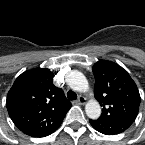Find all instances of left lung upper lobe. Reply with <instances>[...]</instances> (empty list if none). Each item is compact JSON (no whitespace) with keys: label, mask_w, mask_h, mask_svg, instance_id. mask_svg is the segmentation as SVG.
I'll list each match as a JSON object with an SVG mask.
<instances>
[{"label":"left lung upper lobe","mask_w":145,"mask_h":145,"mask_svg":"<svg viewBox=\"0 0 145 145\" xmlns=\"http://www.w3.org/2000/svg\"><path fill=\"white\" fill-rule=\"evenodd\" d=\"M94 95L103 107L102 114L90 124L106 135L127 130L135 121L140 105L138 88L128 72L118 64L101 60L94 64Z\"/></svg>","instance_id":"5c2ea615"}]
</instances>
